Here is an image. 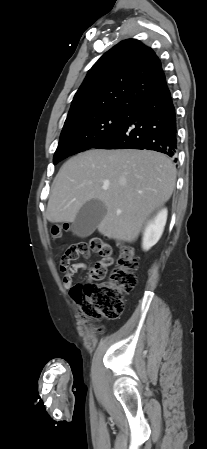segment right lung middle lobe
<instances>
[{"label": "right lung middle lobe", "instance_id": "dd1d6c3e", "mask_svg": "<svg viewBox=\"0 0 207 449\" xmlns=\"http://www.w3.org/2000/svg\"><path fill=\"white\" fill-rule=\"evenodd\" d=\"M134 109H106L66 119L54 165L73 154L93 148L123 126Z\"/></svg>", "mask_w": 207, "mask_h": 449}]
</instances>
